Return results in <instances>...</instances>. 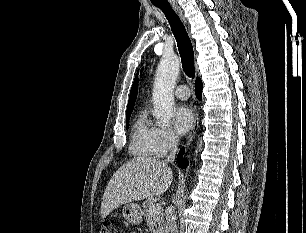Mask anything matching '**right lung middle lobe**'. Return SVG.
<instances>
[{
    "mask_svg": "<svg viewBox=\"0 0 306 233\" xmlns=\"http://www.w3.org/2000/svg\"><path fill=\"white\" fill-rule=\"evenodd\" d=\"M129 118H130V114L126 115V126L128 127L129 125Z\"/></svg>",
    "mask_w": 306,
    "mask_h": 233,
    "instance_id": "obj_1",
    "label": "right lung middle lobe"
}]
</instances>
